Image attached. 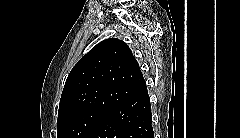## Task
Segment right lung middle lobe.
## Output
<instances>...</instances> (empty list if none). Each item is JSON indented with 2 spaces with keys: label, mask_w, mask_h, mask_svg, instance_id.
I'll list each match as a JSON object with an SVG mask.
<instances>
[{
  "label": "right lung middle lobe",
  "mask_w": 240,
  "mask_h": 138,
  "mask_svg": "<svg viewBox=\"0 0 240 138\" xmlns=\"http://www.w3.org/2000/svg\"><path fill=\"white\" fill-rule=\"evenodd\" d=\"M106 113V111L91 109L61 117L57 120V137L86 138Z\"/></svg>",
  "instance_id": "dd1d6c3e"
}]
</instances>
